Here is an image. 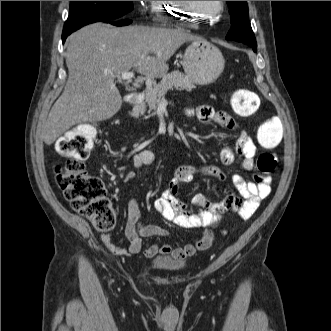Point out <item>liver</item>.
Wrapping results in <instances>:
<instances>
[{"label": "liver", "mask_w": 331, "mask_h": 331, "mask_svg": "<svg viewBox=\"0 0 331 331\" xmlns=\"http://www.w3.org/2000/svg\"><path fill=\"white\" fill-rule=\"evenodd\" d=\"M202 38L178 29L93 23L67 39L68 80L43 128L51 145L73 125L103 121L122 106L116 78L131 69L148 78L166 75L167 61L185 42Z\"/></svg>", "instance_id": "1"}]
</instances>
